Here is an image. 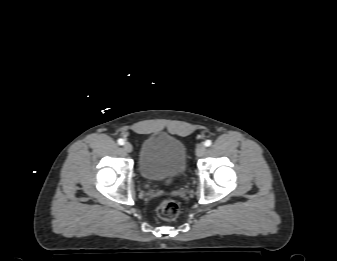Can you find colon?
Instances as JSON below:
<instances>
[{
	"mask_svg": "<svg viewBox=\"0 0 337 261\" xmlns=\"http://www.w3.org/2000/svg\"><path fill=\"white\" fill-rule=\"evenodd\" d=\"M170 183L168 181L166 184L169 185ZM156 213L163 220H174L180 214V205L176 200L166 199L157 205Z\"/></svg>",
	"mask_w": 337,
	"mask_h": 261,
	"instance_id": "1",
	"label": "colon"
}]
</instances>
